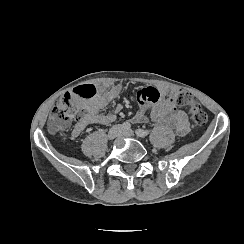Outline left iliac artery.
I'll return each instance as SVG.
<instances>
[{
	"label": "left iliac artery",
	"mask_w": 244,
	"mask_h": 244,
	"mask_svg": "<svg viewBox=\"0 0 244 244\" xmlns=\"http://www.w3.org/2000/svg\"><path fill=\"white\" fill-rule=\"evenodd\" d=\"M149 133H150V130H144V129H137L136 130V135L141 137V138L146 137Z\"/></svg>",
	"instance_id": "obj_1"
}]
</instances>
